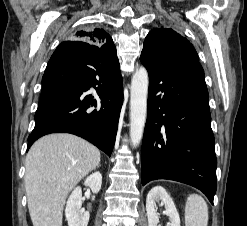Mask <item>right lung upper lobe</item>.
<instances>
[{
    "mask_svg": "<svg viewBox=\"0 0 247 226\" xmlns=\"http://www.w3.org/2000/svg\"><path fill=\"white\" fill-rule=\"evenodd\" d=\"M74 38L78 41L95 45L100 48L111 49L115 47L110 35L100 28H89L77 31L74 34Z\"/></svg>",
    "mask_w": 247,
    "mask_h": 226,
    "instance_id": "cb5924a9",
    "label": "right lung upper lobe"
}]
</instances>
